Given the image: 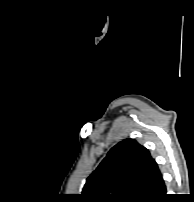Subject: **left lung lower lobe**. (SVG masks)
<instances>
[{"label": "left lung lower lobe", "mask_w": 194, "mask_h": 202, "mask_svg": "<svg viewBox=\"0 0 194 202\" xmlns=\"http://www.w3.org/2000/svg\"><path fill=\"white\" fill-rule=\"evenodd\" d=\"M164 198H166V187L163 181L152 202H162Z\"/></svg>", "instance_id": "left-lung-lower-lobe-1"}]
</instances>
